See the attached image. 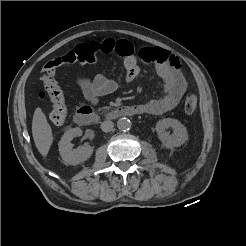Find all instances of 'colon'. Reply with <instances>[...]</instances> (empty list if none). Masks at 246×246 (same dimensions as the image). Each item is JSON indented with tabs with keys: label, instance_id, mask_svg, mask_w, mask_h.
I'll use <instances>...</instances> for the list:
<instances>
[{
	"label": "colon",
	"instance_id": "1",
	"mask_svg": "<svg viewBox=\"0 0 246 246\" xmlns=\"http://www.w3.org/2000/svg\"><path fill=\"white\" fill-rule=\"evenodd\" d=\"M96 54L92 49L85 45H79L64 56L50 60L45 64L41 74V80L44 84V91L39 93L40 99L49 98L51 109L48 118L54 125L64 123L67 116V106L64 95L55 80V71L57 67L65 63H92L95 61ZM198 99L195 93L189 92L184 99V111L192 114L196 111Z\"/></svg>",
	"mask_w": 246,
	"mask_h": 246
}]
</instances>
